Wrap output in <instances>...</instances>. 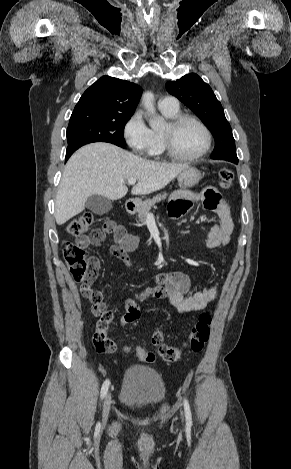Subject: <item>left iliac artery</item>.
<instances>
[{
  "label": "left iliac artery",
  "mask_w": 291,
  "mask_h": 469,
  "mask_svg": "<svg viewBox=\"0 0 291 469\" xmlns=\"http://www.w3.org/2000/svg\"><path fill=\"white\" fill-rule=\"evenodd\" d=\"M184 410H185V417H186V424L188 427L192 426V416L189 402L186 398H184Z\"/></svg>",
  "instance_id": "44dca946"
}]
</instances>
